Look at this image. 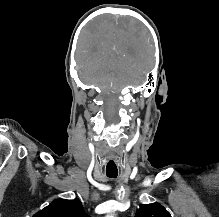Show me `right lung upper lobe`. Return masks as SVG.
<instances>
[{"label":"right lung upper lobe","mask_w":219,"mask_h":217,"mask_svg":"<svg viewBox=\"0 0 219 217\" xmlns=\"http://www.w3.org/2000/svg\"><path fill=\"white\" fill-rule=\"evenodd\" d=\"M33 217H90L85 213L81 202L75 200L57 199Z\"/></svg>","instance_id":"right-lung-upper-lobe-1"}]
</instances>
